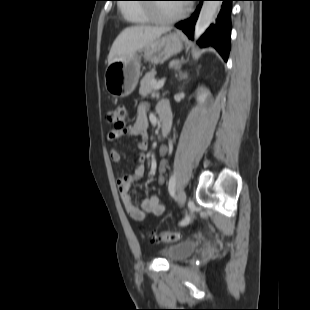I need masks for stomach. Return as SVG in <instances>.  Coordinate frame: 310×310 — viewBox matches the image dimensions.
<instances>
[{"label": "stomach", "mask_w": 310, "mask_h": 310, "mask_svg": "<svg viewBox=\"0 0 310 310\" xmlns=\"http://www.w3.org/2000/svg\"><path fill=\"white\" fill-rule=\"evenodd\" d=\"M182 49V40L178 33H170L155 39L142 50L145 60L158 64L163 63ZM140 56L134 54L127 59H118L108 64L104 78L106 90L114 97L130 95L139 80Z\"/></svg>", "instance_id": "obj_1"}]
</instances>
